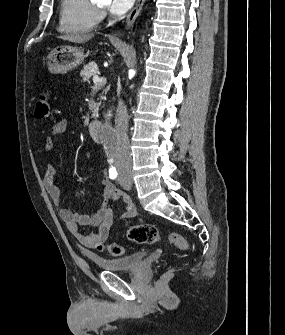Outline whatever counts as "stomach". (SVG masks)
<instances>
[{
    "instance_id": "stomach-1",
    "label": "stomach",
    "mask_w": 285,
    "mask_h": 335,
    "mask_svg": "<svg viewBox=\"0 0 285 335\" xmlns=\"http://www.w3.org/2000/svg\"><path fill=\"white\" fill-rule=\"evenodd\" d=\"M86 56L80 48H72V46H59L52 50L48 56V70L51 74H63L68 70H73L76 66H80L84 62Z\"/></svg>"
}]
</instances>
